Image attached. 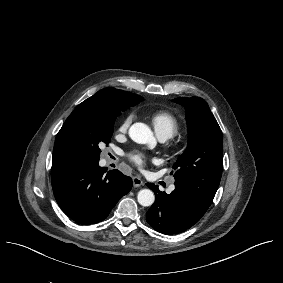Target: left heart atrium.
<instances>
[{
  "instance_id": "39dd6f15",
  "label": "left heart atrium",
  "mask_w": 283,
  "mask_h": 283,
  "mask_svg": "<svg viewBox=\"0 0 283 283\" xmlns=\"http://www.w3.org/2000/svg\"><path fill=\"white\" fill-rule=\"evenodd\" d=\"M129 157L130 160L138 167L143 166L144 163L151 159L150 156L138 151L131 153Z\"/></svg>"
}]
</instances>
